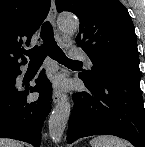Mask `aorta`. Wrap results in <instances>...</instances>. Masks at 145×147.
<instances>
[{"instance_id":"obj_1","label":"aorta","mask_w":145,"mask_h":147,"mask_svg":"<svg viewBox=\"0 0 145 147\" xmlns=\"http://www.w3.org/2000/svg\"><path fill=\"white\" fill-rule=\"evenodd\" d=\"M58 26L63 32H71L78 28L79 23L71 14L60 15ZM71 113V105L68 101H61L53 109L49 119V135L58 141L66 128Z\"/></svg>"}]
</instances>
